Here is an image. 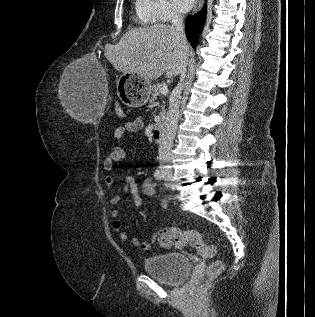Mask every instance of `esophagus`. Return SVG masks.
<instances>
[{"label":"esophagus","instance_id":"esophagus-1","mask_svg":"<svg viewBox=\"0 0 315 317\" xmlns=\"http://www.w3.org/2000/svg\"><path fill=\"white\" fill-rule=\"evenodd\" d=\"M204 0H196V5L194 8V13H197L198 11H200V9L202 8Z\"/></svg>","mask_w":315,"mask_h":317}]
</instances>
